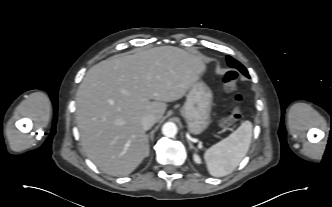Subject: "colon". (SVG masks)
<instances>
[{"mask_svg":"<svg viewBox=\"0 0 332 207\" xmlns=\"http://www.w3.org/2000/svg\"><path fill=\"white\" fill-rule=\"evenodd\" d=\"M223 87L228 92H234L236 86L238 84V73L234 70L228 71L223 79H222ZM242 95L239 93L233 94V100L235 102V106L233 109L228 113V115L224 118L218 120V124L222 128H228L242 118V112L240 108V102L242 101Z\"/></svg>","mask_w":332,"mask_h":207,"instance_id":"obj_1","label":"colon"}]
</instances>
